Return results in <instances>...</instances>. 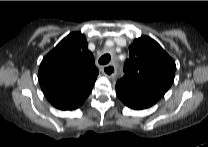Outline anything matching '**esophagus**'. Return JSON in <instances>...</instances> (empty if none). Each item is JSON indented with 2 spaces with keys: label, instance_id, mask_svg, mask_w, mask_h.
I'll use <instances>...</instances> for the list:
<instances>
[{
  "label": "esophagus",
  "instance_id": "esophagus-1",
  "mask_svg": "<svg viewBox=\"0 0 208 147\" xmlns=\"http://www.w3.org/2000/svg\"><path fill=\"white\" fill-rule=\"evenodd\" d=\"M102 72L109 78H114L116 75V68L113 64L106 65L102 68Z\"/></svg>",
  "mask_w": 208,
  "mask_h": 147
}]
</instances>
